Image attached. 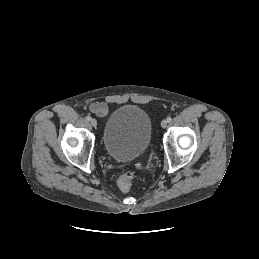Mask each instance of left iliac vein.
<instances>
[{
    "instance_id": "obj_1",
    "label": "left iliac vein",
    "mask_w": 259,
    "mask_h": 259,
    "mask_svg": "<svg viewBox=\"0 0 259 259\" xmlns=\"http://www.w3.org/2000/svg\"><path fill=\"white\" fill-rule=\"evenodd\" d=\"M167 124H168L167 120H162V121H161V127H162V128H166V127H167Z\"/></svg>"
}]
</instances>
